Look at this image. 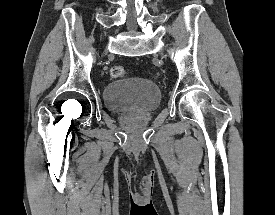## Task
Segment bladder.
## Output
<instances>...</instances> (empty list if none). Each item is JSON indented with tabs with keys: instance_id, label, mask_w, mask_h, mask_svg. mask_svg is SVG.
Masks as SVG:
<instances>
[{
	"instance_id": "obj_1",
	"label": "bladder",
	"mask_w": 275,
	"mask_h": 215,
	"mask_svg": "<svg viewBox=\"0 0 275 215\" xmlns=\"http://www.w3.org/2000/svg\"><path fill=\"white\" fill-rule=\"evenodd\" d=\"M107 108L117 114L146 113L160 104V91L150 80L127 78L110 81L103 90Z\"/></svg>"
}]
</instances>
